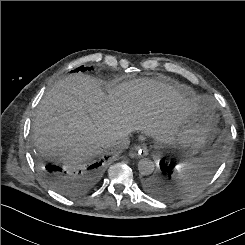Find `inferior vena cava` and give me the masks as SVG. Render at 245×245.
<instances>
[{"mask_svg": "<svg viewBox=\"0 0 245 245\" xmlns=\"http://www.w3.org/2000/svg\"><path fill=\"white\" fill-rule=\"evenodd\" d=\"M130 140L128 135H124L112 142H109L106 147L110 149L113 153H121L123 150L128 148Z\"/></svg>", "mask_w": 245, "mask_h": 245, "instance_id": "obj_1", "label": "inferior vena cava"}]
</instances>
